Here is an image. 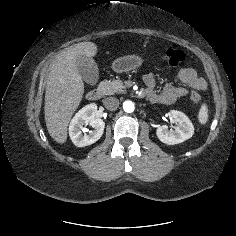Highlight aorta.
Returning a JSON list of instances; mask_svg holds the SVG:
<instances>
[{
  "instance_id": "obj_1",
  "label": "aorta",
  "mask_w": 236,
  "mask_h": 236,
  "mask_svg": "<svg viewBox=\"0 0 236 236\" xmlns=\"http://www.w3.org/2000/svg\"><path fill=\"white\" fill-rule=\"evenodd\" d=\"M123 109L127 113L133 112L134 109H135L134 103L132 101H130V100L125 101L123 103Z\"/></svg>"
}]
</instances>
